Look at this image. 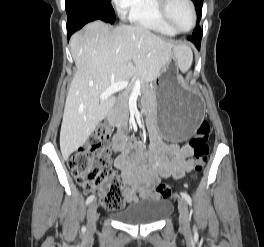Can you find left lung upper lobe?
<instances>
[{
    "mask_svg": "<svg viewBox=\"0 0 264 247\" xmlns=\"http://www.w3.org/2000/svg\"><path fill=\"white\" fill-rule=\"evenodd\" d=\"M193 3L195 4V9H196V12H197V16H198V20H197V26L196 28L194 29L193 31V35L195 34H200L202 33V30L199 28V21L201 19V13H202V3H203V0H192Z\"/></svg>",
    "mask_w": 264,
    "mask_h": 247,
    "instance_id": "5c2ea615",
    "label": "left lung upper lobe"
}]
</instances>
